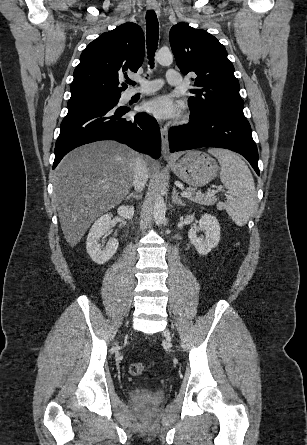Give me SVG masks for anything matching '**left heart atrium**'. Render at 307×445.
<instances>
[{
	"label": "left heart atrium",
	"mask_w": 307,
	"mask_h": 445,
	"mask_svg": "<svg viewBox=\"0 0 307 445\" xmlns=\"http://www.w3.org/2000/svg\"><path fill=\"white\" fill-rule=\"evenodd\" d=\"M145 111L159 119H167L177 113V107L170 96L160 95L147 102Z\"/></svg>",
	"instance_id": "39dd6f15"
}]
</instances>
